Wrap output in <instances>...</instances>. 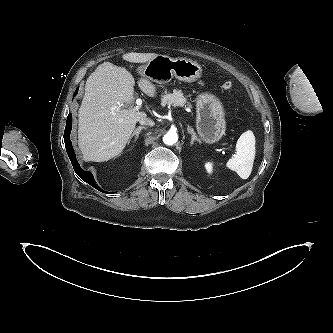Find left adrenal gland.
Instances as JSON below:
<instances>
[{"label":"left adrenal gland","instance_id":"obj_1","mask_svg":"<svg viewBox=\"0 0 333 333\" xmlns=\"http://www.w3.org/2000/svg\"><path fill=\"white\" fill-rule=\"evenodd\" d=\"M187 131H188L189 134L192 135L191 145H193L195 141L201 142L200 139L197 137L196 133L194 132L193 128H191L190 126H188L187 127Z\"/></svg>","mask_w":333,"mask_h":333}]
</instances>
